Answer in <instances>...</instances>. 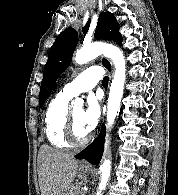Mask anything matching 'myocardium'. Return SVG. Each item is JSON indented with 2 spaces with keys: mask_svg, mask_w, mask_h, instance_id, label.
I'll use <instances>...</instances> for the list:
<instances>
[{
  "mask_svg": "<svg viewBox=\"0 0 178 195\" xmlns=\"http://www.w3.org/2000/svg\"><path fill=\"white\" fill-rule=\"evenodd\" d=\"M64 137L71 147H76V148L85 146L91 139L90 135H88L83 140H78L76 138L75 133H74L73 116H72V112L70 111L68 112L67 117H66Z\"/></svg>",
  "mask_w": 178,
  "mask_h": 195,
  "instance_id": "1",
  "label": "myocardium"
}]
</instances>
